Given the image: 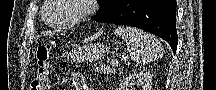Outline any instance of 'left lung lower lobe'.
Segmentation results:
<instances>
[{
	"label": "left lung lower lobe",
	"mask_w": 216,
	"mask_h": 90,
	"mask_svg": "<svg viewBox=\"0 0 216 90\" xmlns=\"http://www.w3.org/2000/svg\"><path fill=\"white\" fill-rule=\"evenodd\" d=\"M175 0H121L113 8L95 15L91 20L125 24L144 29L177 49Z\"/></svg>",
	"instance_id": "1"
}]
</instances>
